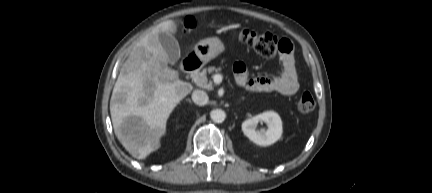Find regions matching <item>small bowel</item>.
Here are the masks:
<instances>
[{
    "mask_svg": "<svg viewBox=\"0 0 432 193\" xmlns=\"http://www.w3.org/2000/svg\"><path fill=\"white\" fill-rule=\"evenodd\" d=\"M239 86L255 92H278L283 95L295 94L300 86L299 75L292 53L282 55V72L272 76L251 77L246 65L238 61L233 66Z\"/></svg>",
    "mask_w": 432,
    "mask_h": 193,
    "instance_id": "obj_1",
    "label": "small bowel"
}]
</instances>
